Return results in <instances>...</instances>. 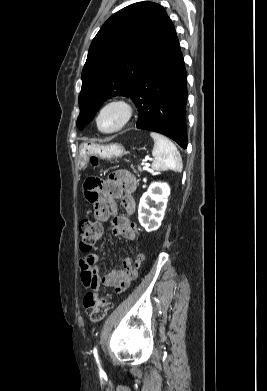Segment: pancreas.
I'll return each instance as SVG.
<instances>
[{"instance_id":"obj_1","label":"pancreas","mask_w":267,"mask_h":391,"mask_svg":"<svg viewBox=\"0 0 267 391\" xmlns=\"http://www.w3.org/2000/svg\"><path fill=\"white\" fill-rule=\"evenodd\" d=\"M138 169H139L140 171H142V169H141L140 167H139Z\"/></svg>"}]
</instances>
